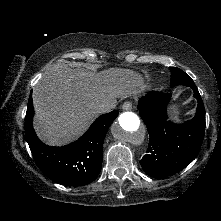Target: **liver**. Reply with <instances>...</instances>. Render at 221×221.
Masks as SVG:
<instances>
[{
    "mask_svg": "<svg viewBox=\"0 0 221 221\" xmlns=\"http://www.w3.org/2000/svg\"><path fill=\"white\" fill-rule=\"evenodd\" d=\"M145 90L140 74L123 68L99 73L52 66L33 90L34 129L49 145H63L79 137L98 116V106Z\"/></svg>",
    "mask_w": 221,
    "mask_h": 221,
    "instance_id": "liver-1",
    "label": "liver"
}]
</instances>
